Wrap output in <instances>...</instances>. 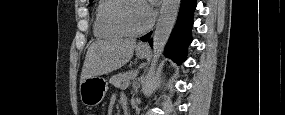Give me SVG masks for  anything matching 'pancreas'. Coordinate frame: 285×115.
Wrapping results in <instances>:
<instances>
[{"label": "pancreas", "instance_id": "pancreas-1", "mask_svg": "<svg viewBox=\"0 0 285 115\" xmlns=\"http://www.w3.org/2000/svg\"><path fill=\"white\" fill-rule=\"evenodd\" d=\"M135 76H136V72L132 70L129 72L119 73V74L112 76L109 82L113 86L119 88V87H122L124 84L129 83L130 80L134 79Z\"/></svg>", "mask_w": 285, "mask_h": 115}]
</instances>
